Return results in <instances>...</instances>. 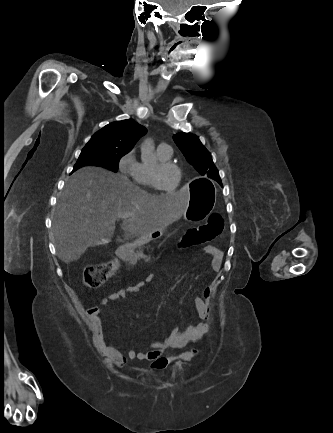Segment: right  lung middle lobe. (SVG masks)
<instances>
[{
    "mask_svg": "<svg viewBox=\"0 0 333 433\" xmlns=\"http://www.w3.org/2000/svg\"><path fill=\"white\" fill-rule=\"evenodd\" d=\"M128 151H122L115 148H106L95 145H86L74 166V170L86 165L102 166L116 172L119 167V160Z\"/></svg>",
    "mask_w": 333,
    "mask_h": 433,
    "instance_id": "right-lung-middle-lobe-1",
    "label": "right lung middle lobe"
}]
</instances>
